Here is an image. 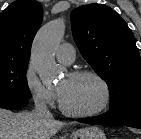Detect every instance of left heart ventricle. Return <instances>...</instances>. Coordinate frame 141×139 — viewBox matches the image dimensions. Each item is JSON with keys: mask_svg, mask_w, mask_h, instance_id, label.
<instances>
[{"mask_svg": "<svg viewBox=\"0 0 141 139\" xmlns=\"http://www.w3.org/2000/svg\"><path fill=\"white\" fill-rule=\"evenodd\" d=\"M65 105L74 111L88 112L98 108L104 97L100 83L92 77L72 78L69 75L58 84Z\"/></svg>", "mask_w": 141, "mask_h": 139, "instance_id": "1", "label": "left heart ventricle"}]
</instances>
